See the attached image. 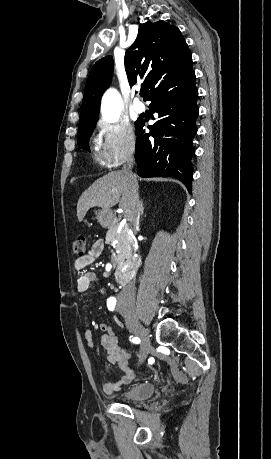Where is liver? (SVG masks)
Instances as JSON below:
<instances>
[{"instance_id":"1","label":"liver","mask_w":271,"mask_h":459,"mask_svg":"<svg viewBox=\"0 0 271 459\" xmlns=\"http://www.w3.org/2000/svg\"><path fill=\"white\" fill-rule=\"evenodd\" d=\"M134 178H129L122 170L119 172H109L107 176L96 180L88 190L83 192L77 204V218L82 222L88 210L99 206L103 210H110L119 202L121 210H131L132 208V186ZM122 198L120 200V196Z\"/></svg>"}]
</instances>
